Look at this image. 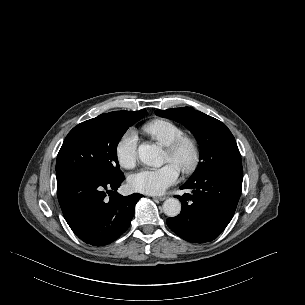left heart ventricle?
<instances>
[{
    "mask_svg": "<svg viewBox=\"0 0 305 305\" xmlns=\"http://www.w3.org/2000/svg\"><path fill=\"white\" fill-rule=\"evenodd\" d=\"M189 157V153L188 151H184L179 157L177 158H173L169 155V153L166 151L165 153V161L166 162H171L173 164H175L178 168L181 165V163H183L184 161H186Z\"/></svg>",
    "mask_w": 305,
    "mask_h": 305,
    "instance_id": "left-heart-ventricle-1",
    "label": "left heart ventricle"
}]
</instances>
